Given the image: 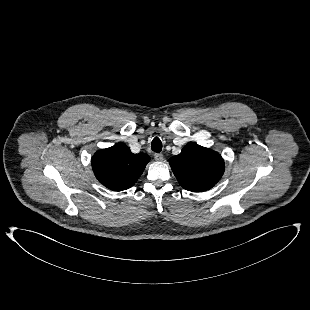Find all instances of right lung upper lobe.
<instances>
[{
	"mask_svg": "<svg viewBox=\"0 0 310 310\" xmlns=\"http://www.w3.org/2000/svg\"><path fill=\"white\" fill-rule=\"evenodd\" d=\"M149 161V155L133 154L124 143H116L94 154L92 168L101 184L122 191L134 185Z\"/></svg>",
	"mask_w": 310,
	"mask_h": 310,
	"instance_id": "cb5924a9",
	"label": "right lung upper lobe"
}]
</instances>
